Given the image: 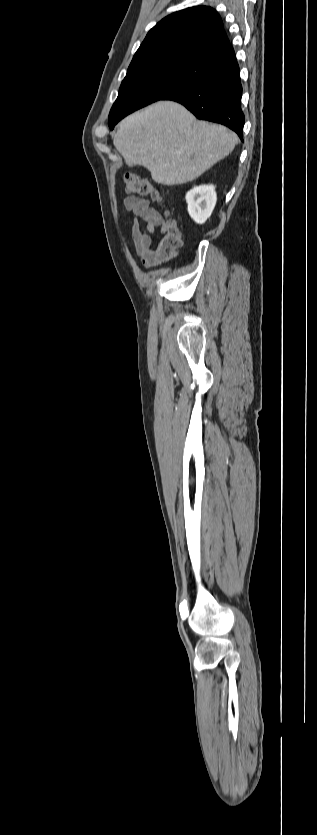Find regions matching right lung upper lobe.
<instances>
[{"mask_svg":"<svg viewBox=\"0 0 317 835\" xmlns=\"http://www.w3.org/2000/svg\"><path fill=\"white\" fill-rule=\"evenodd\" d=\"M229 43L220 15L197 6L175 12L157 23L135 53L127 74L220 48Z\"/></svg>","mask_w":317,"mask_h":835,"instance_id":"1","label":"right lung upper lobe"}]
</instances>
